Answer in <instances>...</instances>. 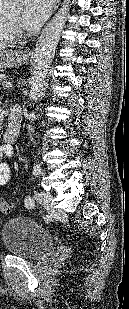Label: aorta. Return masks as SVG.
<instances>
[{
	"mask_svg": "<svg viewBox=\"0 0 129 309\" xmlns=\"http://www.w3.org/2000/svg\"><path fill=\"white\" fill-rule=\"evenodd\" d=\"M65 12L62 9L44 27L38 38L33 55L32 77L29 82V101L31 103L36 102L44 90L49 67L65 26Z\"/></svg>",
	"mask_w": 129,
	"mask_h": 309,
	"instance_id": "762f6f07",
	"label": "aorta"
}]
</instances>
